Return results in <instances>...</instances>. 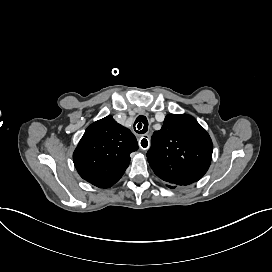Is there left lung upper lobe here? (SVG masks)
Here are the masks:
<instances>
[{
    "label": "left lung upper lobe",
    "mask_w": 272,
    "mask_h": 272,
    "mask_svg": "<svg viewBox=\"0 0 272 272\" xmlns=\"http://www.w3.org/2000/svg\"><path fill=\"white\" fill-rule=\"evenodd\" d=\"M213 145L209 134L187 114H169L151 138L147 152L154 173L168 185L186 186L208 170Z\"/></svg>",
    "instance_id": "obj_1"
}]
</instances>
